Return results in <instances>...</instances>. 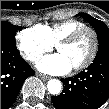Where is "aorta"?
Returning a JSON list of instances; mask_svg holds the SVG:
<instances>
[{"label":"aorta","instance_id":"1","mask_svg":"<svg viewBox=\"0 0 109 109\" xmlns=\"http://www.w3.org/2000/svg\"><path fill=\"white\" fill-rule=\"evenodd\" d=\"M48 92L53 95H58L62 90V83L58 79H51L47 83Z\"/></svg>","mask_w":109,"mask_h":109}]
</instances>
